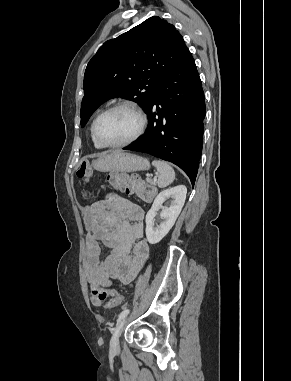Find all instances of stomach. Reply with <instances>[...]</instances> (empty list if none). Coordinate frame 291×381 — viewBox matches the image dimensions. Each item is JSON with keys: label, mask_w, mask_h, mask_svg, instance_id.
<instances>
[{"label": "stomach", "mask_w": 291, "mask_h": 381, "mask_svg": "<svg viewBox=\"0 0 291 381\" xmlns=\"http://www.w3.org/2000/svg\"><path fill=\"white\" fill-rule=\"evenodd\" d=\"M92 166L101 172H134L148 170L150 163L146 158L135 154L113 152L101 155L92 162Z\"/></svg>", "instance_id": "0dacf381"}]
</instances>
